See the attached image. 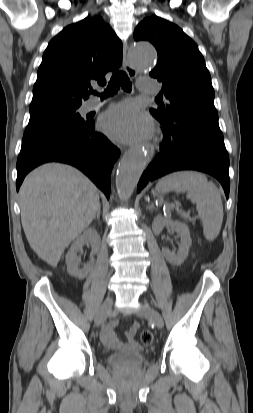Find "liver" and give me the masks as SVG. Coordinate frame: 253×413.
Listing matches in <instances>:
<instances>
[{"instance_id":"6515ba94","label":"liver","mask_w":253,"mask_h":413,"mask_svg":"<svg viewBox=\"0 0 253 413\" xmlns=\"http://www.w3.org/2000/svg\"><path fill=\"white\" fill-rule=\"evenodd\" d=\"M19 203L31 248L52 267L90 225L100 206L97 187L79 170L60 163L30 172L20 188Z\"/></svg>"}]
</instances>
